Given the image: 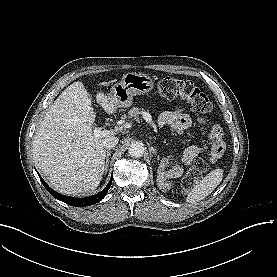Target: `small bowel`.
I'll list each match as a JSON object with an SVG mask.
<instances>
[{"mask_svg":"<svg viewBox=\"0 0 277 277\" xmlns=\"http://www.w3.org/2000/svg\"><path fill=\"white\" fill-rule=\"evenodd\" d=\"M199 123H205V120L199 118ZM193 123V120L189 114H187L183 107L178 106L172 111L163 112L158 117V125L160 127H170L177 134H182ZM223 132L219 125L214 126L209 131V141L200 147H189L182 152L181 155V167H188L193 160L200 155L207 154H221L223 151L222 142Z\"/></svg>","mask_w":277,"mask_h":277,"instance_id":"c3829d8e","label":"small bowel"}]
</instances>
